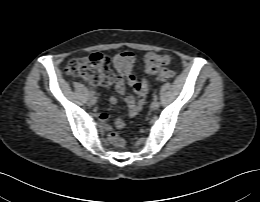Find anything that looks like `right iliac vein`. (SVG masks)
<instances>
[{"label": "right iliac vein", "mask_w": 260, "mask_h": 202, "mask_svg": "<svg viewBox=\"0 0 260 202\" xmlns=\"http://www.w3.org/2000/svg\"><path fill=\"white\" fill-rule=\"evenodd\" d=\"M89 102H90V104L95 105L96 102H97L96 97L91 96V97L89 98Z\"/></svg>", "instance_id": "63e3f726"}]
</instances>
